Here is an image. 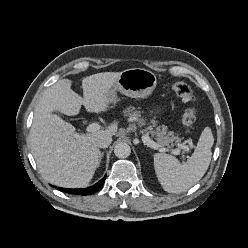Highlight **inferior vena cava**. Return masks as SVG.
<instances>
[{"instance_id":"obj_1","label":"inferior vena cava","mask_w":248,"mask_h":248,"mask_svg":"<svg viewBox=\"0 0 248 248\" xmlns=\"http://www.w3.org/2000/svg\"><path fill=\"white\" fill-rule=\"evenodd\" d=\"M112 142V137L104 135L96 139V146L99 148H107Z\"/></svg>"}]
</instances>
